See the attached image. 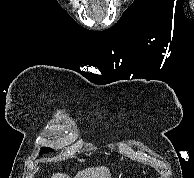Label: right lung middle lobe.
I'll list each match as a JSON object with an SVG mask.
<instances>
[{
  "label": "right lung middle lobe",
  "mask_w": 194,
  "mask_h": 178,
  "mask_svg": "<svg viewBox=\"0 0 194 178\" xmlns=\"http://www.w3.org/2000/svg\"><path fill=\"white\" fill-rule=\"evenodd\" d=\"M49 151H54V150H52L51 148H48V147H42L39 154L47 153Z\"/></svg>",
  "instance_id": "dd1d6c3e"
}]
</instances>
